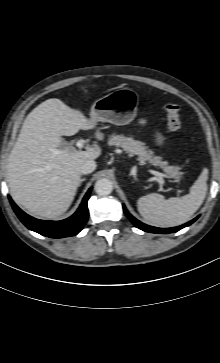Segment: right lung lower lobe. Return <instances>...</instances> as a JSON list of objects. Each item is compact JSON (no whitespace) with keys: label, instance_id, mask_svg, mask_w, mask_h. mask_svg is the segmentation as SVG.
Listing matches in <instances>:
<instances>
[{"label":"right lung lower lobe","instance_id":"1","mask_svg":"<svg viewBox=\"0 0 220 363\" xmlns=\"http://www.w3.org/2000/svg\"><path fill=\"white\" fill-rule=\"evenodd\" d=\"M90 192L91 188L86 193L76 213L62 221H43L35 219L18 208L10 196H8V198L15 213L27 228L50 238H63L76 235L87 222L89 216L87 201Z\"/></svg>","mask_w":220,"mask_h":363}]
</instances>
